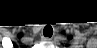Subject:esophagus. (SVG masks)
Wrapping results in <instances>:
<instances>
[{
    "label": "esophagus",
    "instance_id": "1",
    "mask_svg": "<svg viewBox=\"0 0 97 48\" xmlns=\"http://www.w3.org/2000/svg\"><path fill=\"white\" fill-rule=\"evenodd\" d=\"M43 40H52V38H49V37H43Z\"/></svg>",
    "mask_w": 97,
    "mask_h": 48
}]
</instances>
